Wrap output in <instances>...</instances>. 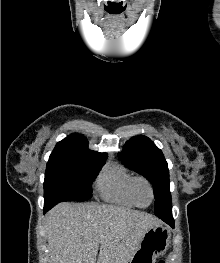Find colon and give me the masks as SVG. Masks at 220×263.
<instances>
[{
	"label": "colon",
	"mask_w": 220,
	"mask_h": 263,
	"mask_svg": "<svg viewBox=\"0 0 220 263\" xmlns=\"http://www.w3.org/2000/svg\"><path fill=\"white\" fill-rule=\"evenodd\" d=\"M158 263H164V261L160 260Z\"/></svg>",
	"instance_id": "obj_1"
}]
</instances>
